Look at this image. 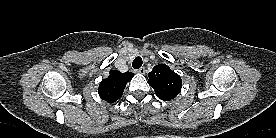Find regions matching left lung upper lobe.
Returning a JSON list of instances; mask_svg holds the SVG:
<instances>
[{"instance_id": "5c2ea615", "label": "left lung upper lobe", "mask_w": 276, "mask_h": 138, "mask_svg": "<svg viewBox=\"0 0 276 138\" xmlns=\"http://www.w3.org/2000/svg\"><path fill=\"white\" fill-rule=\"evenodd\" d=\"M148 77L156 95L164 101L174 99L181 91L180 76L165 64L156 65Z\"/></svg>"}]
</instances>
